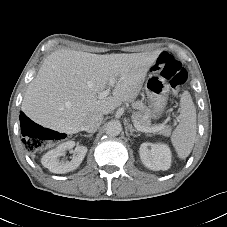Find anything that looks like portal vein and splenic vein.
<instances>
[{
  "mask_svg": "<svg viewBox=\"0 0 227 227\" xmlns=\"http://www.w3.org/2000/svg\"><path fill=\"white\" fill-rule=\"evenodd\" d=\"M115 83H116L115 77H111L109 79L107 88L99 93V97L100 98L107 97L110 94ZM132 121H133V125L135 126V128L141 132L153 133V132H158L161 129V126L144 127V126L140 125L139 122L134 117H132Z\"/></svg>",
  "mask_w": 227,
  "mask_h": 227,
  "instance_id": "obj_1",
  "label": "portal vein and splenic vein"
}]
</instances>
